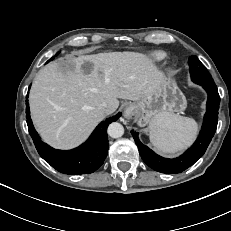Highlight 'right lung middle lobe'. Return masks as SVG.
<instances>
[{"mask_svg": "<svg viewBox=\"0 0 231 231\" xmlns=\"http://www.w3.org/2000/svg\"><path fill=\"white\" fill-rule=\"evenodd\" d=\"M58 54H59V52L56 54V56H57ZM52 59H54V57H52L50 60H48V62L51 61ZM48 62H47V63H48Z\"/></svg>", "mask_w": 231, "mask_h": 231, "instance_id": "1", "label": "right lung middle lobe"}]
</instances>
